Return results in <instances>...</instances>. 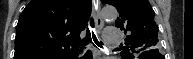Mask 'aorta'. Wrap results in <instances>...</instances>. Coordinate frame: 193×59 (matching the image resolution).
I'll return each mask as SVG.
<instances>
[{"instance_id": "762f6f07", "label": "aorta", "mask_w": 193, "mask_h": 59, "mask_svg": "<svg viewBox=\"0 0 193 59\" xmlns=\"http://www.w3.org/2000/svg\"><path fill=\"white\" fill-rule=\"evenodd\" d=\"M101 16L105 20L114 21L118 17V12L116 8L108 6L102 9Z\"/></svg>"}]
</instances>
